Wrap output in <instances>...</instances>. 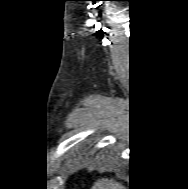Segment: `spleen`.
I'll use <instances>...</instances> for the list:
<instances>
[{
	"label": "spleen",
	"mask_w": 188,
	"mask_h": 189,
	"mask_svg": "<svg viewBox=\"0 0 188 189\" xmlns=\"http://www.w3.org/2000/svg\"><path fill=\"white\" fill-rule=\"evenodd\" d=\"M92 189H121V186L113 180L101 179L94 184Z\"/></svg>",
	"instance_id": "1"
}]
</instances>
